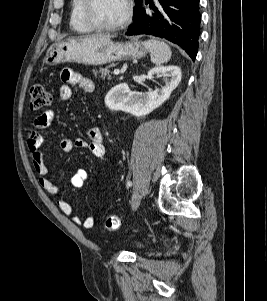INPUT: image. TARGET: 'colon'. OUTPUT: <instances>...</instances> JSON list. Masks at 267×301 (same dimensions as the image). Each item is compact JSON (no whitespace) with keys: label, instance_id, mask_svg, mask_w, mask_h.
<instances>
[{"label":"colon","instance_id":"colon-1","mask_svg":"<svg viewBox=\"0 0 267 301\" xmlns=\"http://www.w3.org/2000/svg\"><path fill=\"white\" fill-rule=\"evenodd\" d=\"M30 107L32 110H39L52 102L51 93L42 85H34L30 90ZM120 226V219L115 215H108L105 219V227L109 231H115Z\"/></svg>","mask_w":267,"mask_h":301}]
</instances>
